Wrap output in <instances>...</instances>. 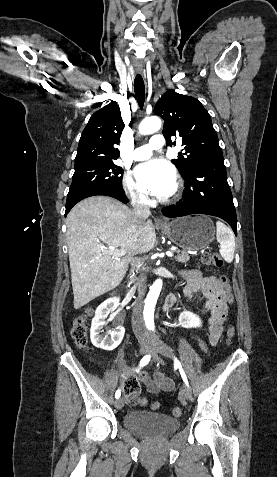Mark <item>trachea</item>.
Wrapping results in <instances>:
<instances>
[{"label":"trachea","instance_id":"trachea-1","mask_svg":"<svg viewBox=\"0 0 277 477\" xmlns=\"http://www.w3.org/2000/svg\"><path fill=\"white\" fill-rule=\"evenodd\" d=\"M134 91L139 107L142 109L145 100V86L141 75H136L134 79Z\"/></svg>","mask_w":277,"mask_h":477}]
</instances>
